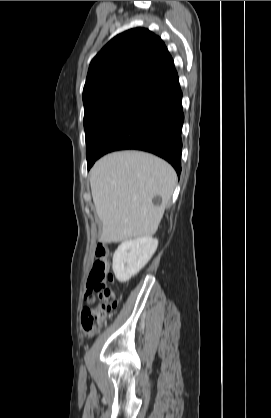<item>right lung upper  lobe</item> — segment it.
<instances>
[{"label": "right lung upper lobe", "instance_id": "obj_1", "mask_svg": "<svg viewBox=\"0 0 271 418\" xmlns=\"http://www.w3.org/2000/svg\"><path fill=\"white\" fill-rule=\"evenodd\" d=\"M179 85L164 42L134 28L114 37L93 58L83 89L84 107L121 95L153 102Z\"/></svg>", "mask_w": 271, "mask_h": 418}]
</instances>
